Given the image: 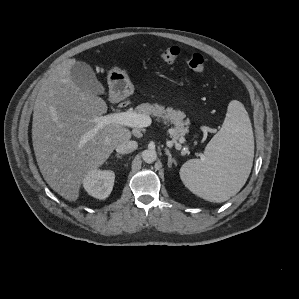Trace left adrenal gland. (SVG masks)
Segmentation results:
<instances>
[{"instance_id":"obj_1","label":"left adrenal gland","mask_w":299,"mask_h":299,"mask_svg":"<svg viewBox=\"0 0 299 299\" xmlns=\"http://www.w3.org/2000/svg\"><path fill=\"white\" fill-rule=\"evenodd\" d=\"M165 154L168 156V167L171 168L172 164L176 165V160L172 158V155L167 148L165 149Z\"/></svg>"}]
</instances>
